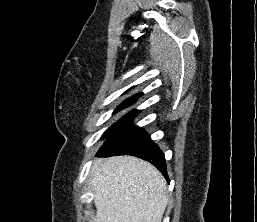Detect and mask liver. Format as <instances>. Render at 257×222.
Segmentation results:
<instances>
[{
	"label": "liver",
	"instance_id": "obj_1",
	"mask_svg": "<svg viewBox=\"0 0 257 222\" xmlns=\"http://www.w3.org/2000/svg\"><path fill=\"white\" fill-rule=\"evenodd\" d=\"M91 176L93 222H161L168 203L166 181L149 162L132 156L98 158Z\"/></svg>",
	"mask_w": 257,
	"mask_h": 222
}]
</instances>
